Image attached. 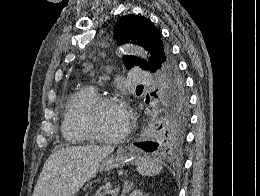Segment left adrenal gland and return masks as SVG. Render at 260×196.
Segmentation results:
<instances>
[{"mask_svg": "<svg viewBox=\"0 0 260 196\" xmlns=\"http://www.w3.org/2000/svg\"><path fill=\"white\" fill-rule=\"evenodd\" d=\"M132 186H134V184H132V182H131V184H129V182L127 180V182H125V184H124V188L122 190L121 196H126V194H128V192H130Z\"/></svg>", "mask_w": 260, "mask_h": 196, "instance_id": "a2214340", "label": "left adrenal gland"}]
</instances>
